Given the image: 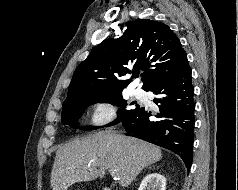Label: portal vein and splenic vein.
Wrapping results in <instances>:
<instances>
[{
    "label": "portal vein and splenic vein",
    "mask_w": 238,
    "mask_h": 190,
    "mask_svg": "<svg viewBox=\"0 0 238 190\" xmlns=\"http://www.w3.org/2000/svg\"><path fill=\"white\" fill-rule=\"evenodd\" d=\"M111 176L114 177L115 180H119V178L115 175L114 171H110Z\"/></svg>",
    "instance_id": "obj_1"
}]
</instances>
